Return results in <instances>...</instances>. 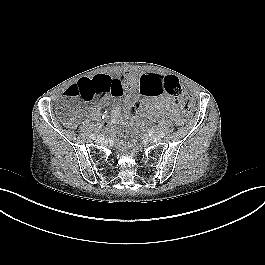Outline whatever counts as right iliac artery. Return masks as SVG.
<instances>
[{"label":"right iliac artery","mask_w":265,"mask_h":265,"mask_svg":"<svg viewBox=\"0 0 265 265\" xmlns=\"http://www.w3.org/2000/svg\"><path fill=\"white\" fill-rule=\"evenodd\" d=\"M96 138V134H91L90 139L94 140Z\"/></svg>","instance_id":"right-iliac-artery-1"}]
</instances>
